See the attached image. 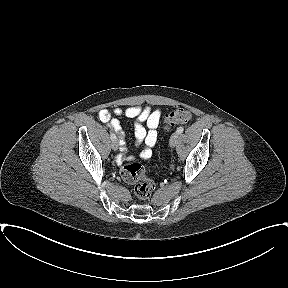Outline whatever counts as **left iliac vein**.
Returning <instances> with one entry per match:
<instances>
[{
	"label": "left iliac vein",
	"mask_w": 288,
	"mask_h": 288,
	"mask_svg": "<svg viewBox=\"0 0 288 288\" xmlns=\"http://www.w3.org/2000/svg\"><path fill=\"white\" fill-rule=\"evenodd\" d=\"M177 141H178V133L175 132L172 134V136L170 138V141H169L170 146L174 147L177 144Z\"/></svg>",
	"instance_id": "1"
}]
</instances>
